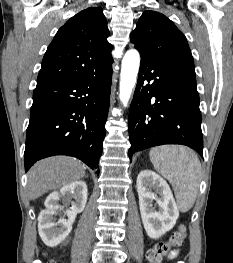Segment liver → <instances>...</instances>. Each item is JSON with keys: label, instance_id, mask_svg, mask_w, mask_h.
<instances>
[{"label": "liver", "instance_id": "obj_1", "mask_svg": "<svg viewBox=\"0 0 233 263\" xmlns=\"http://www.w3.org/2000/svg\"><path fill=\"white\" fill-rule=\"evenodd\" d=\"M84 176V166L74 158L65 156L46 158L37 162L28 173V197L35 200L47 191L62 188Z\"/></svg>", "mask_w": 233, "mask_h": 263}]
</instances>
